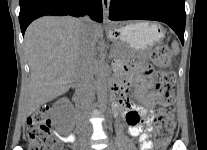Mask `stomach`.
I'll return each instance as SVG.
<instances>
[{
  "instance_id": "stomach-1",
  "label": "stomach",
  "mask_w": 207,
  "mask_h": 150,
  "mask_svg": "<svg viewBox=\"0 0 207 150\" xmlns=\"http://www.w3.org/2000/svg\"><path fill=\"white\" fill-rule=\"evenodd\" d=\"M115 48L121 52L117 58L128 61L148 52L152 46L164 38V28L158 22L138 21L115 24L107 30Z\"/></svg>"
}]
</instances>
